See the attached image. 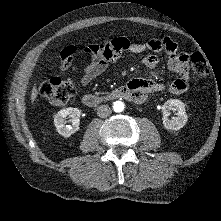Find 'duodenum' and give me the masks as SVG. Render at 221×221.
I'll list each match as a JSON object with an SVG mask.
<instances>
[{"label":"duodenum","mask_w":221,"mask_h":221,"mask_svg":"<svg viewBox=\"0 0 221 221\" xmlns=\"http://www.w3.org/2000/svg\"><path fill=\"white\" fill-rule=\"evenodd\" d=\"M119 98L134 100L133 94L130 91V89L127 86H121L104 95H97L91 93L85 94L82 98V102L85 106L89 108H95L102 103Z\"/></svg>","instance_id":"obj_1"}]
</instances>
